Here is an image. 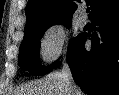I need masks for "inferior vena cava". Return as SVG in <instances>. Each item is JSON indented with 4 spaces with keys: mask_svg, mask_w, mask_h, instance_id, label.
Masks as SVG:
<instances>
[{
    "mask_svg": "<svg viewBox=\"0 0 119 95\" xmlns=\"http://www.w3.org/2000/svg\"><path fill=\"white\" fill-rule=\"evenodd\" d=\"M60 77L66 83L69 95H81L82 94L81 90L74 83L71 70L69 68V65L66 62L63 63V67L60 72Z\"/></svg>",
    "mask_w": 119,
    "mask_h": 95,
    "instance_id": "inferior-vena-cava-1",
    "label": "inferior vena cava"
}]
</instances>
